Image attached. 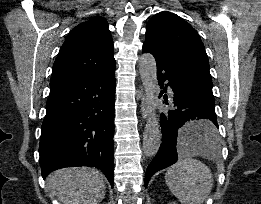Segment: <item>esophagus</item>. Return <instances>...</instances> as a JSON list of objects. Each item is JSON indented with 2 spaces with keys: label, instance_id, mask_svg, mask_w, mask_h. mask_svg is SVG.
<instances>
[{
  "label": "esophagus",
  "instance_id": "34e87169",
  "mask_svg": "<svg viewBox=\"0 0 261 204\" xmlns=\"http://www.w3.org/2000/svg\"><path fill=\"white\" fill-rule=\"evenodd\" d=\"M147 102H148L147 98L145 96H142V98H141V115L144 120L147 119V116H148Z\"/></svg>",
  "mask_w": 261,
  "mask_h": 204
}]
</instances>
